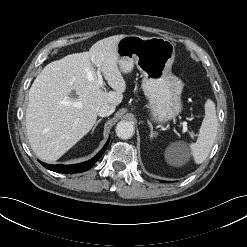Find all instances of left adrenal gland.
<instances>
[{
    "label": "left adrenal gland",
    "instance_id": "obj_1",
    "mask_svg": "<svg viewBox=\"0 0 247 247\" xmlns=\"http://www.w3.org/2000/svg\"><path fill=\"white\" fill-rule=\"evenodd\" d=\"M149 127H150V138L152 139L153 137H156L157 132L153 131V126L151 122L148 121Z\"/></svg>",
    "mask_w": 247,
    "mask_h": 247
}]
</instances>
